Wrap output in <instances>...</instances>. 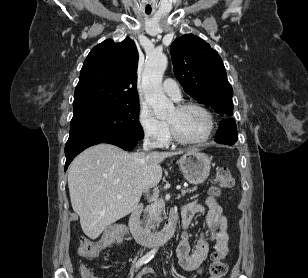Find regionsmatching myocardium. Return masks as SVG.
Here are the masks:
<instances>
[{
	"label": "myocardium",
	"instance_id": "myocardium-1",
	"mask_svg": "<svg viewBox=\"0 0 308 278\" xmlns=\"http://www.w3.org/2000/svg\"><path fill=\"white\" fill-rule=\"evenodd\" d=\"M178 110H185V109H189V108H195V109H198L200 111H202L207 119H208V130L206 132V134L201 137V138H198V139H190V138H187L185 136H183L182 134H180L170 123H169V126H170V129H171V133L174 137V139L182 144H190V145H193V144H201V143H204L206 141H208L213 132H214V129H215V119H214V116L212 114V112L207 108L205 107L204 105L200 104V103H197V102H185V103H181L179 104L177 107H176Z\"/></svg>",
	"mask_w": 308,
	"mask_h": 278
}]
</instances>
